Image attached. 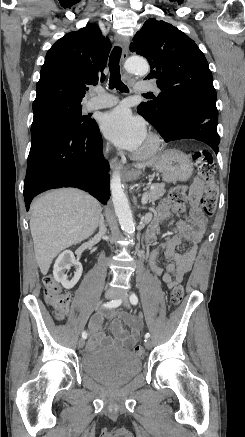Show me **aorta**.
<instances>
[{"instance_id": "obj_1", "label": "aorta", "mask_w": 245, "mask_h": 437, "mask_svg": "<svg viewBox=\"0 0 245 437\" xmlns=\"http://www.w3.org/2000/svg\"><path fill=\"white\" fill-rule=\"evenodd\" d=\"M126 70L135 75L144 76L149 72L148 62L138 56L127 59L125 63ZM112 201L116 216L122 230L128 235L133 236L135 233V223L129 206L128 199L124 193L121 178L118 173L112 175L110 181Z\"/></svg>"}]
</instances>
